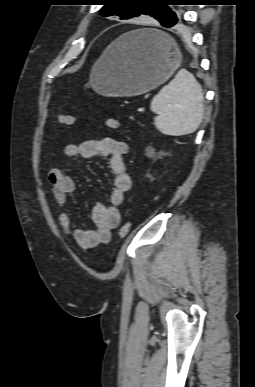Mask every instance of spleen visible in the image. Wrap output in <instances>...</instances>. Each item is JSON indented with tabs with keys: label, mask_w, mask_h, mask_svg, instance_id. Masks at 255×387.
<instances>
[{
	"label": "spleen",
	"mask_w": 255,
	"mask_h": 387,
	"mask_svg": "<svg viewBox=\"0 0 255 387\" xmlns=\"http://www.w3.org/2000/svg\"><path fill=\"white\" fill-rule=\"evenodd\" d=\"M202 87L193 74L181 69L151 101L158 115L155 127L163 134L181 136L195 132L203 119Z\"/></svg>",
	"instance_id": "3e777b00"
}]
</instances>
